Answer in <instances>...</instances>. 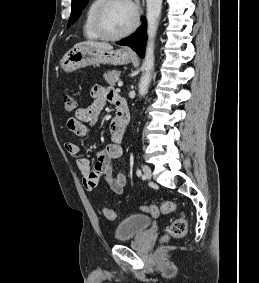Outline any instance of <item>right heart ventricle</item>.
<instances>
[{"mask_svg":"<svg viewBox=\"0 0 259 283\" xmlns=\"http://www.w3.org/2000/svg\"><path fill=\"white\" fill-rule=\"evenodd\" d=\"M100 1L101 0H92L90 4L88 5L86 12H85L82 29H83L84 36L90 40L100 39V37L97 35L93 27L94 12L98 4L100 3Z\"/></svg>","mask_w":259,"mask_h":283,"instance_id":"obj_1","label":"right heart ventricle"}]
</instances>
